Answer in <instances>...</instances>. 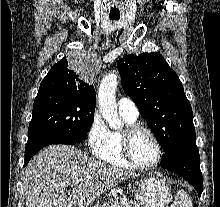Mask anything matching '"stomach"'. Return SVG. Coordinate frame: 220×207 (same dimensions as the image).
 <instances>
[{"instance_id": "obj_1", "label": "stomach", "mask_w": 220, "mask_h": 207, "mask_svg": "<svg viewBox=\"0 0 220 207\" xmlns=\"http://www.w3.org/2000/svg\"><path fill=\"white\" fill-rule=\"evenodd\" d=\"M135 199L142 207H168L171 188L164 178L149 174L138 182Z\"/></svg>"}]
</instances>
